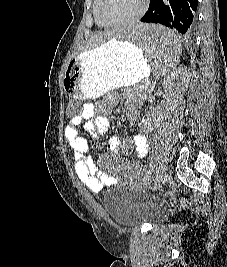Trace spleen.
Instances as JSON below:
<instances>
[{
    "instance_id": "spleen-1",
    "label": "spleen",
    "mask_w": 227,
    "mask_h": 267,
    "mask_svg": "<svg viewBox=\"0 0 227 267\" xmlns=\"http://www.w3.org/2000/svg\"><path fill=\"white\" fill-rule=\"evenodd\" d=\"M117 30H124L117 41L141 47L144 59L151 63V77H172L182 53L181 42L173 31L160 23L147 22H124L117 25Z\"/></svg>"
}]
</instances>
